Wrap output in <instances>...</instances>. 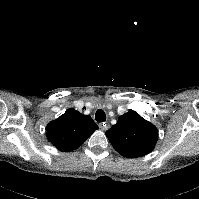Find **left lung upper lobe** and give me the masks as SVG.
Listing matches in <instances>:
<instances>
[{
  "label": "left lung upper lobe",
  "instance_id": "obj_1",
  "mask_svg": "<svg viewBox=\"0 0 199 199\" xmlns=\"http://www.w3.org/2000/svg\"><path fill=\"white\" fill-rule=\"evenodd\" d=\"M105 134L114 149L127 158L147 155L158 140L157 128L133 110L119 116Z\"/></svg>",
  "mask_w": 199,
  "mask_h": 199
}]
</instances>
